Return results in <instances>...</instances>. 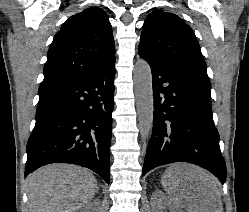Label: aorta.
<instances>
[{
    "mask_svg": "<svg viewBox=\"0 0 249 212\" xmlns=\"http://www.w3.org/2000/svg\"><path fill=\"white\" fill-rule=\"evenodd\" d=\"M134 86L141 137L148 139L153 123L152 72L149 63L138 59L134 66Z\"/></svg>",
    "mask_w": 249,
    "mask_h": 212,
    "instance_id": "1",
    "label": "aorta"
}]
</instances>
